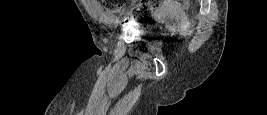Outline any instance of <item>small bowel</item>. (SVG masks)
Segmentation results:
<instances>
[{"label":"small bowel","instance_id":"1","mask_svg":"<svg viewBox=\"0 0 267 115\" xmlns=\"http://www.w3.org/2000/svg\"><path fill=\"white\" fill-rule=\"evenodd\" d=\"M87 3H88V6L90 7V9L92 10V12L98 18L103 19V20H110L111 19V15L103 9V7L99 1L87 0ZM177 9H178L177 4H175L172 1H166L156 9V12L157 13H164L167 11L175 12Z\"/></svg>","mask_w":267,"mask_h":115}]
</instances>
